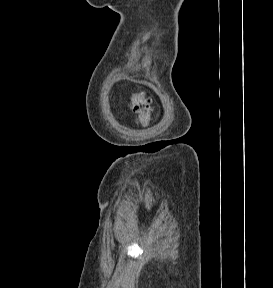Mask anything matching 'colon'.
I'll return each instance as SVG.
<instances>
[{"label":"colon","instance_id":"obj_1","mask_svg":"<svg viewBox=\"0 0 273 288\" xmlns=\"http://www.w3.org/2000/svg\"><path fill=\"white\" fill-rule=\"evenodd\" d=\"M131 107L137 116L141 126H147L151 121V102L143 93H133L131 96Z\"/></svg>","mask_w":273,"mask_h":288}]
</instances>
